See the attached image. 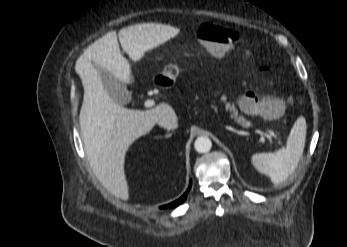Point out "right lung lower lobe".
Returning <instances> with one entry per match:
<instances>
[{
    "instance_id": "right-lung-lower-lobe-1",
    "label": "right lung lower lobe",
    "mask_w": 347,
    "mask_h": 247,
    "mask_svg": "<svg viewBox=\"0 0 347 247\" xmlns=\"http://www.w3.org/2000/svg\"><path fill=\"white\" fill-rule=\"evenodd\" d=\"M190 188H191V182H190V186H189V188H188L186 193H184L178 200H176V201H174V202H172V203H170L168 205L162 206L161 209L172 208V207H175V206L179 205L180 203H183L185 201L186 197H187V193H188Z\"/></svg>"
}]
</instances>
